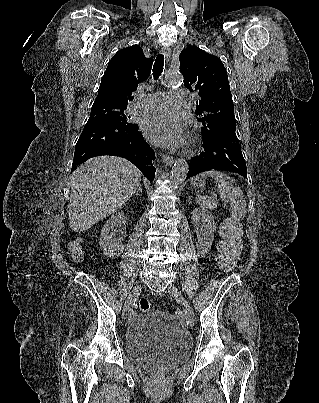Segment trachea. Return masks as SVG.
<instances>
[{"instance_id": "1", "label": "trachea", "mask_w": 319, "mask_h": 403, "mask_svg": "<svg viewBox=\"0 0 319 403\" xmlns=\"http://www.w3.org/2000/svg\"><path fill=\"white\" fill-rule=\"evenodd\" d=\"M163 66H164V55L159 54L156 57V60L153 65V76L155 79H158L161 73L163 72Z\"/></svg>"}]
</instances>
